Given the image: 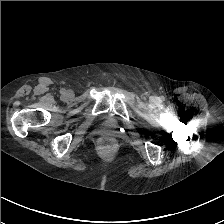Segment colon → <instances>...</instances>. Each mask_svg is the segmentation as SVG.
Masks as SVG:
<instances>
[{
  "label": "colon",
  "instance_id": "5ec220e1",
  "mask_svg": "<svg viewBox=\"0 0 224 224\" xmlns=\"http://www.w3.org/2000/svg\"><path fill=\"white\" fill-rule=\"evenodd\" d=\"M111 142H112V140H111L110 138H108V137H103V138L100 140V143H101V145H103V146H108V145L111 144Z\"/></svg>",
  "mask_w": 224,
  "mask_h": 224
}]
</instances>
